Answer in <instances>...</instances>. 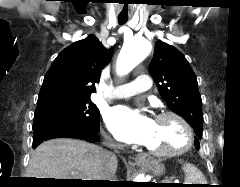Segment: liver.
Listing matches in <instances>:
<instances>
[{
	"mask_svg": "<svg viewBox=\"0 0 240 187\" xmlns=\"http://www.w3.org/2000/svg\"><path fill=\"white\" fill-rule=\"evenodd\" d=\"M103 150L78 139L57 138L40 144L26 170L28 178L106 180L117 169V159L106 166Z\"/></svg>",
	"mask_w": 240,
	"mask_h": 187,
	"instance_id": "liver-1",
	"label": "liver"
}]
</instances>
